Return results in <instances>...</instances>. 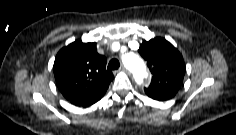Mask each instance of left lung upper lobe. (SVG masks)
I'll list each match as a JSON object with an SVG mask.
<instances>
[{"label": "left lung upper lobe", "mask_w": 236, "mask_h": 135, "mask_svg": "<svg viewBox=\"0 0 236 135\" xmlns=\"http://www.w3.org/2000/svg\"><path fill=\"white\" fill-rule=\"evenodd\" d=\"M138 51L147 61L153 74L150 86L144 88L145 93H176L183 83L185 74V63L180 52L161 37L144 41Z\"/></svg>", "instance_id": "1"}]
</instances>
